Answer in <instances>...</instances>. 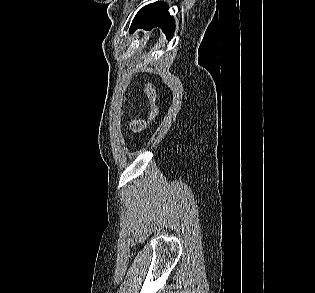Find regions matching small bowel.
Listing matches in <instances>:
<instances>
[{
  "label": "small bowel",
  "instance_id": "obj_1",
  "mask_svg": "<svg viewBox=\"0 0 315 293\" xmlns=\"http://www.w3.org/2000/svg\"><path fill=\"white\" fill-rule=\"evenodd\" d=\"M144 126H145V124H144L143 121L137 120V121L132 122L131 129L134 132H139V131H141L144 128Z\"/></svg>",
  "mask_w": 315,
  "mask_h": 293
}]
</instances>
